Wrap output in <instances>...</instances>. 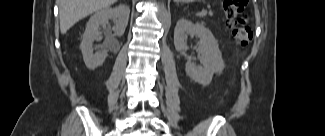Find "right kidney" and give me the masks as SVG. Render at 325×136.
<instances>
[{"label": "right kidney", "mask_w": 325, "mask_h": 136, "mask_svg": "<svg viewBox=\"0 0 325 136\" xmlns=\"http://www.w3.org/2000/svg\"><path fill=\"white\" fill-rule=\"evenodd\" d=\"M130 9L126 5H119L115 8L105 7L97 11L88 21L80 49L83 55L85 65L88 69L94 70L101 66L107 57V51L97 50L93 46L99 36V27L113 19L115 26L112 28L116 36H122L128 24Z\"/></svg>", "instance_id": "right-kidney-1"}]
</instances>
